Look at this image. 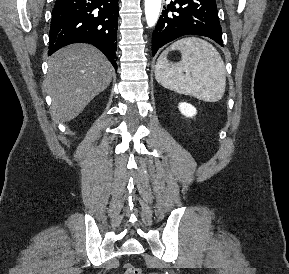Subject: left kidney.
<instances>
[{"label":"left kidney","mask_w":289,"mask_h":274,"mask_svg":"<svg viewBox=\"0 0 289 274\" xmlns=\"http://www.w3.org/2000/svg\"><path fill=\"white\" fill-rule=\"evenodd\" d=\"M179 110L183 115L190 118L195 116L197 113V110L194 106L185 102L179 104Z\"/></svg>","instance_id":"obj_1"}]
</instances>
